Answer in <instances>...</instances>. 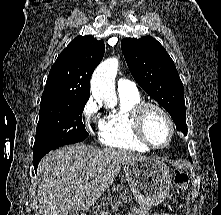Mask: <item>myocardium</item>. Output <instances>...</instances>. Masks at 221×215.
<instances>
[{"instance_id":"f54148a6","label":"myocardium","mask_w":221,"mask_h":215,"mask_svg":"<svg viewBox=\"0 0 221 215\" xmlns=\"http://www.w3.org/2000/svg\"><path fill=\"white\" fill-rule=\"evenodd\" d=\"M149 109L158 110L166 118L169 124V128H170L169 138L167 142L162 146L154 145L149 140V138L147 137L145 133L144 120H145L146 113ZM132 123H133V129L137 138L146 146L154 150H161V149L167 148L171 144L175 135V123H174L172 116L162 105L155 103V102L141 101L140 103L135 105L134 108L132 109Z\"/></svg>"}]
</instances>
